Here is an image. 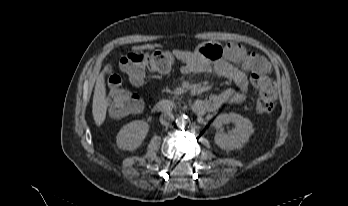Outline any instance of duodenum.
<instances>
[{
  "instance_id": "410a0bca",
  "label": "duodenum",
  "mask_w": 348,
  "mask_h": 206,
  "mask_svg": "<svg viewBox=\"0 0 348 206\" xmlns=\"http://www.w3.org/2000/svg\"><path fill=\"white\" fill-rule=\"evenodd\" d=\"M210 107H211L210 99H207L205 101L196 100L193 102L192 110L195 115H203L206 112L210 111ZM174 108H175V104L170 100L158 101L154 106L155 111L159 113H170L174 110Z\"/></svg>"
}]
</instances>
